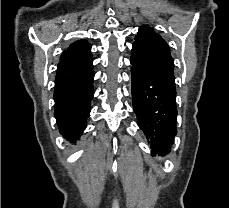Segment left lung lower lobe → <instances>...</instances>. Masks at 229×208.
Instances as JSON below:
<instances>
[{
    "label": "left lung lower lobe",
    "mask_w": 229,
    "mask_h": 208,
    "mask_svg": "<svg viewBox=\"0 0 229 208\" xmlns=\"http://www.w3.org/2000/svg\"><path fill=\"white\" fill-rule=\"evenodd\" d=\"M133 109L152 156L165 155L177 134L176 90L153 80L134 60H130Z\"/></svg>",
    "instance_id": "0a47b994"
}]
</instances>
